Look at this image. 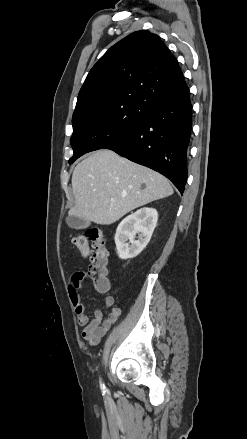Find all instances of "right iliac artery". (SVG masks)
<instances>
[{
  "mask_svg": "<svg viewBox=\"0 0 247 439\" xmlns=\"http://www.w3.org/2000/svg\"><path fill=\"white\" fill-rule=\"evenodd\" d=\"M100 387H101V389L103 390L104 393L107 391L106 387H105V385H104V383L102 382L101 379H100Z\"/></svg>",
  "mask_w": 247,
  "mask_h": 439,
  "instance_id": "1",
  "label": "right iliac artery"
}]
</instances>
